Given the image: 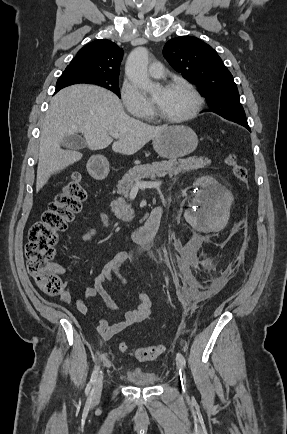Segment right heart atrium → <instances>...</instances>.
<instances>
[{"instance_id":"1","label":"right heart atrium","mask_w":287,"mask_h":434,"mask_svg":"<svg viewBox=\"0 0 287 434\" xmlns=\"http://www.w3.org/2000/svg\"><path fill=\"white\" fill-rule=\"evenodd\" d=\"M121 99L126 110L134 116H149L153 107L151 102L131 82L124 81L121 86Z\"/></svg>"}]
</instances>
